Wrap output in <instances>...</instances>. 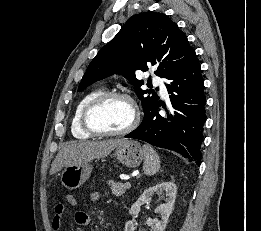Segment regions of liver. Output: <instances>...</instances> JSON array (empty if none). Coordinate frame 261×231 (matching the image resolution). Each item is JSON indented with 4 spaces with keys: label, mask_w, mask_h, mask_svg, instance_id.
Listing matches in <instances>:
<instances>
[{
    "label": "liver",
    "mask_w": 261,
    "mask_h": 231,
    "mask_svg": "<svg viewBox=\"0 0 261 231\" xmlns=\"http://www.w3.org/2000/svg\"><path fill=\"white\" fill-rule=\"evenodd\" d=\"M123 139L104 141L71 142L65 144L58 152L50 169V175L61 171L69 165H81L95 158H102L110 154Z\"/></svg>",
    "instance_id": "1"
}]
</instances>
